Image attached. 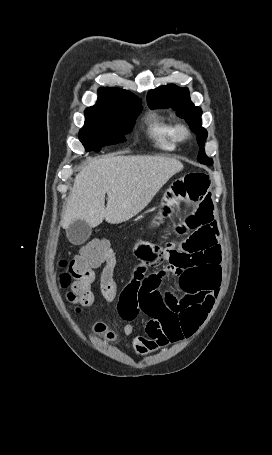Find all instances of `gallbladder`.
I'll use <instances>...</instances> for the list:
<instances>
[{"mask_svg": "<svg viewBox=\"0 0 272 455\" xmlns=\"http://www.w3.org/2000/svg\"><path fill=\"white\" fill-rule=\"evenodd\" d=\"M91 227L83 220H75L66 228V236L73 244H83L91 235Z\"/></svg>", "mask_w": 272, "mask_h": 455, "instance_id": "bac80fb5", "label": "gallbladder"}]
</instances>
